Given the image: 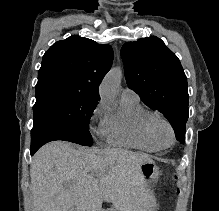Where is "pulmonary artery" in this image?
Instances as JSON below:
<instances>
[{"label": "pulmonary artery", "mask_w": 219, "mask_h": 211, "mask_svg": "<svg viewBox=\"0 0 219 211\" xmlns=\"http://www.w3.org/2000/svg\"><path fill=\"white\" fill-rule=\"evenodd\" d=\"M138 99H139L138 94L130 88H124L121 92V100H138Z\"/></svg>", "instance_id": "e3ab8cb5"}]
</instances>
